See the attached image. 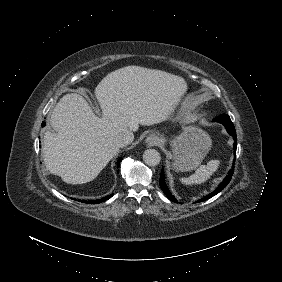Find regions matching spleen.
Segmentation results:
<instances>
[{
  "label": "spleen",
  "mask_w": 282,
  "mask_h": 282,
  "mask_svg": "<svg viewBox=\"0 0 282 282\" xmlns=\"http://www.w3.org/2000/svg\"><path fill=\"white\" fill-rule=\"evenodd\" d=\"M221 166L220 159L210 160L206 166L201 165L194 174L189 177H179V182L184 186L203 185L208 182Z\"/></svg>",
  "instance_id": "3e777b00"
}]
</instances>
